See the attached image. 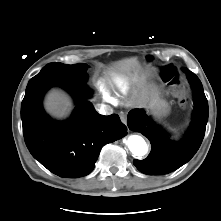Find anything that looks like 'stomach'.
Listing matches in <instances>:
<instances>
[{
  "label": "stomach",
  "instance_id": "0dacf381",
  "mask_svg": "<svg viewBox=\"0 0 221 221\" xmlns=\"http://www.w3.org/2000/svg\"><path fill=\"white\" fill-rule=\"evenodd\" d=\"M145 107L150 109L151 112L157 117L166 116L170 111L169 104L163 100L158 92H153Z\"/></svg>",
  "mask_w": 221,
  "mask_h": 221
}]
</instances>
